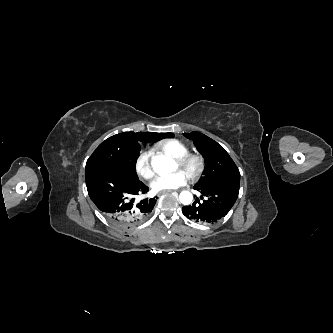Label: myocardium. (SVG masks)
Wrapping results in <instances>:
<instances>
[{"label": "myocardium", "instance_id": "obj_1", "mask_svg": "<svg viewBox=\"0 0 333 333\" xmlns=\"http://www.w3.org/2000/svg\"><path fill=\"white\" fill-rule=\"evenodd\" d=\"M177 163L191 179L199 178L205 169V160L200 154H186Z\"/></svg>", "mask_w": 333, "mask_h": 333}]
</instances>
